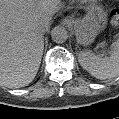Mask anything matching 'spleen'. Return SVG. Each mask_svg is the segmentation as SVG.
<instances>
[{"label":"spleen","mask_w":119,"mask_h":119,"mask_svg":"<svg viewBox=\"0 0 119 119\" xmlns=\"http://www.w3.org/2000/svg\"><path fill=\"white\" fill-rule=\"evenodd\" d=\"M110 57L95 55L91 50L78 53L80 65L92 76L104 80L119 76V39L113 44Z\"/></svg>","instance_id":"spleen-1"}]
</instances>
